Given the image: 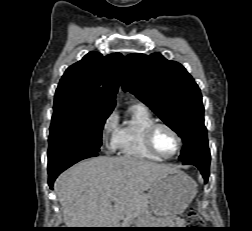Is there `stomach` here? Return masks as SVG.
<instances>
[{"mask_svg":"<svg viewBox=\"0 0 252 231\" xmlns=\"http://www.w3.org/2000/svg\"><path fill=\"white\" fill-rule=\"evenodd\" d=\"M196 194V182L184 172L176 171L160 178L151 186L149 206L156 216L175 218L188 207Z\"/></svg>","mask_w":252,"mask_h":231,"instance_id":"obj_1","label":"stomach"}]
</instances>
